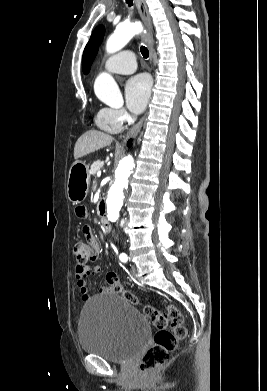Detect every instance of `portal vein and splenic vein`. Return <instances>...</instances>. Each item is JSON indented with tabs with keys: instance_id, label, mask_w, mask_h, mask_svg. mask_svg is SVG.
Returning a JSON list of instances; mask_svg holds the SVG:
<instances>
[{
	"instance_id": "1",
	"label": "portal vein and splenic vein",
	"mask_w": 267,
	"mask_h": 391,
	"mask_svg": "<svg viewBox=\"0 0 267 391\" xmlns=\"http://www.w3.org/2000/svg\"><path fill=\"white\" fill-rule=\"evenodd\" d=\"M97 176H98V177L101 176V171H98V172H97Z\"/></svg>"
}]
</instances>
